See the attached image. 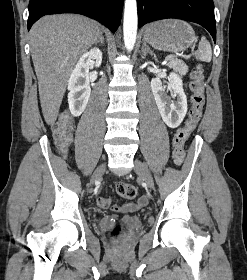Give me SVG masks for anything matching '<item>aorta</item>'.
Segmentation results:
<instances>
[{
  "label": "aorta",
  "instance_id": "762f6f07",
  "mask_svg": "<svg viewBox=\"0 0 247 280\" xmlns=\"http://www.w3.org/2000/svg\"><path fill=\"white\" fill-rule=\"evenodd\" d=\"M137 2L136 0H125L123 36L124 44L128 51H132L137 36Z\"/></svg>",
  "mask_w": 247,
  "mask_h": 280
}]
</instances>
